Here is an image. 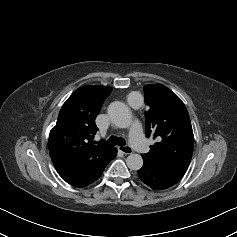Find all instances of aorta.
<instances>
[{
	"mask_svg": "<svg viewBox=\"0 0 237 237\" xmlns=\"http://www.w3.org/2000/svg\"><path fill=\"white\" fill-rule=\"evenodd\" d=\"M108 115L112 123L119 128H127L131 124L132 115L123 102H112L108 107ZM130 170H139L143 166V158L139 154H130L126 159Z\"/></svg>",
	"mask_w": 237,
	"mask_h": 237,
	"instance_id": "aorta-1",
	"label": "aorta"
}]
</instances>
